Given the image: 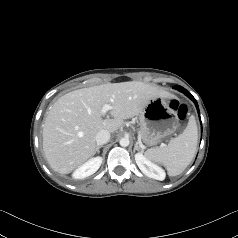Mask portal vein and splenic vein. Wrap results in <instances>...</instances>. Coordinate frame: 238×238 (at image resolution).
<instances>
[{
	"instance_id": "1",
	"label": "portal vein and splenic vein",
	"mask_w": 238,
	"mask_h": 238,
	"mask_svg": "<svg viewBox=\"0 0 238 238\" xmlns=\"http://www.w3.org/2000/svg\"><path fill=\"white\" fill-rule=\"evenodd\" d=\"M111 109H112V106L106 104V105H104L103 108H102V113H103V114H106V112L109 111V110H111Z\"/></svg>"
}]
</instances>
